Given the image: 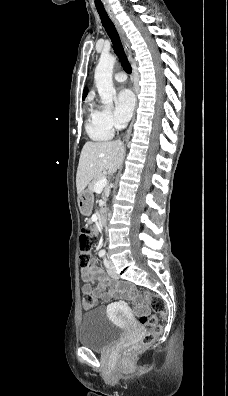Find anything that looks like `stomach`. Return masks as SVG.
Masks as SVG:
<instances>
[{"instance_id":"0dacf381","label":"stomach","mask_w":228,"mask_h":396,"mask_svg":"<svg viewBox=\"0 0 228 396\" xmlns=\"http://www.w3.org/2000/svg\"><path fill=\"white\" fill-rule=\"evenodd\" d=\"M78 207L82 215L89 216L92 212L94 195L90 189L83 190L78 195Z\"/></svg>"}]
</instances>
